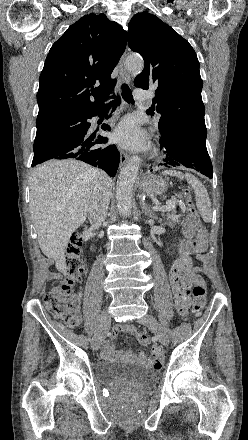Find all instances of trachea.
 <instances>
[{
  "mask_svg": "<svg viewBox=\"0 0 248 440\" xmlns=\"http://www.w3.org/2000/svg\"><path fill=\"white\" fill-rule=\"evenodd\" d=\"M122 97L128 103H134L133 95L127 84H122Z\"/></svg>",
  "mask_w": 248,
  "mask_h": 440,
  "instance_id": "3493384b",
  "label": "trachea"
}]
</instances>
